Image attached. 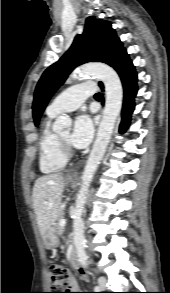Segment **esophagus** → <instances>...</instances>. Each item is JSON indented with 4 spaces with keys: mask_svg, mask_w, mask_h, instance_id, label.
I'll return each mask as SVG.
<instances>
[{
    "mask_svg": "<svg viewBox=\"0 0 170 293\" xmlns=\"http://www.w3.org/2000/svg\"><path fill=\"white\" fill-rule=\"evenodd\" d=\"M80 167L74 168L69 172L70 176H77Z\"/></svg>",
    "mask_w": 170,
    "mask_h": 293,
    "instance_id": "obj_1",
    "label": "esophagus"
}]
</instances>
